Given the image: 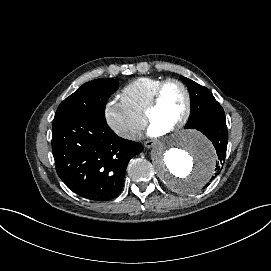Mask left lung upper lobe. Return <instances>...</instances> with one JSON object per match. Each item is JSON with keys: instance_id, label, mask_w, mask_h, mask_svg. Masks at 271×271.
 Returning a JSON list of instances; mask_svg holds the SVG:
<instances>
[{"instance_id": "obj_1", "label": "left lung upper lobe", "mask_w": 271, "mask_h": 271, "mask_svg": "<svg viewBox=\"0 0 271 271\" xmlns=\"http://www.w3.org/2000/svg\"><path fill=\"white\" fill-rule=\"evenodd\" d=\"M180 78L187 85L191 98V112L186 128L196 129L205 115L222 107L208 88L186 77L180 76Z\"/></svg>"}]
</instances>
